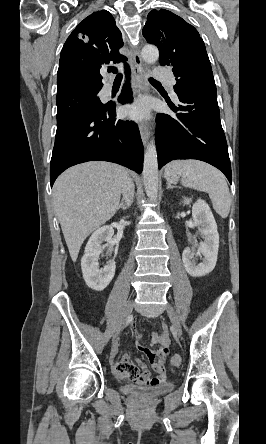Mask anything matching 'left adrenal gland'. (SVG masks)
Wrapping results in <instances>:
<instances>
[{"label": "left adrenal gland", "mask_w": 266, "mask_h": 444, "mask_svg": "<svg viewBox=\"0 0 266 444\" xmlns=\"http://www.w3.org/2000/svg\"><path fill=\"white\" fill-rule=\"evenodd\" d=\"M177 186H173V185H171V183L170 182H167V189H173V188H176Z\"/></svg>", "instance_id": "a2214340"}]
</instances>
